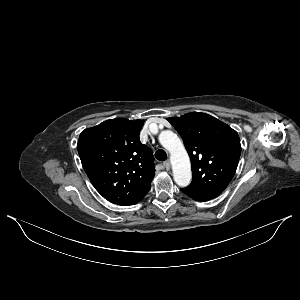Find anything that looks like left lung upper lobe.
<instances>
[{
    "label": "left lung upper lobe",
    "instance_id": "left-lung-upper-lobe-1",
    "mask_svg": "<svg viewBox=\"0 0 300 300\" xmlns=\"http://www.w3.org/2000/svg\"><path fill=\"white\" fill-rule=\"evenodd\" d=\"M183 139L189 153L193 191L220 195L232 180L241 154L235 130L206 113L193 112L167 118Z\"/></svg>",
    "mask_w": 300,
    "mask_h": 300
}]
</instances>
